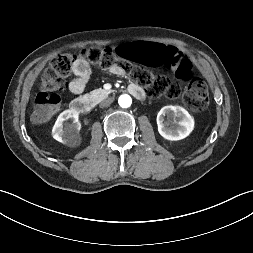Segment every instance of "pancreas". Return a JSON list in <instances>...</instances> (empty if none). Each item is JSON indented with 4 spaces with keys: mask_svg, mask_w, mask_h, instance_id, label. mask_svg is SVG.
Here are the masks:
<instances>
[{
    "mask_svg": "<svg viewBox=\"0 0 253 253\" xmlns=\"http://www.w3.org/2000/svg\"><path fill=\"white\" fill-rule=\"evenodd\" d=\"M110 93H111V91H107V90L100 88V89H96V90L91 91L90 97L93 99H100V98L107 96Z\"/></svg>",
    "mask_w": 253,
    "mask_h": 253,
    "instance_id": "cf45deb5",
    "label": "pancreas"
}]
</instances>
